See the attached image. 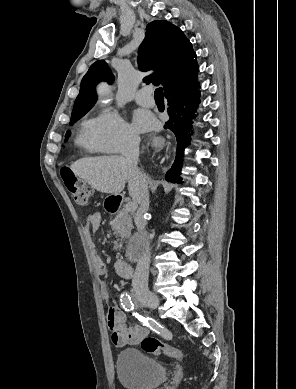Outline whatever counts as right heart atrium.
Wrapping results in <instances>:
<instances>
[{
    "label": "right heart atrium",
    "instance_id": "right-heart-atrium-1",
    "mask_svg": "<svg viewBox=\"0 0 296 389\" xmlns=\"http://www.w3.org/2000/svg\"><path fill=\"white\" fill-rule=\"evenodd\" d=\"M95 121L97 139L104 152L119 153L139 141L137 133L116 109L103 108Z\"/></svg>",
    "mask_w": 296,
    "mask_h": 389
}]
</instances>
